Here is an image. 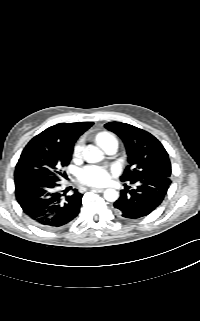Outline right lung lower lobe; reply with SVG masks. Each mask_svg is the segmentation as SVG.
Here are the masks:
<instances>
[{
    "label": "right lung lower lobe",
    "mask_w": 200,
    "mask_h": 321,
    "mask_svg": "<svg viewBox=\"0 0 200 321\" xmlns=\"http://www.w3.org/2000/svg\"><path fill=\"white\" fill-rule=\"evenodd\" d=\"M27 178L16 188V198L32 220L43 228L56 229L76 218L82 194L75 191L67 195L72 187L58 191L61 185L43 176L28 175Z\"/></svg>",
    "instance_id": "right-lung-lower-lobe-1"
}]
</instances>
